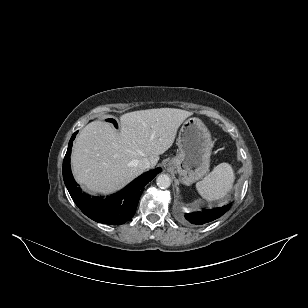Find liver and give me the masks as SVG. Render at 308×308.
<instances>
[{
    "label": "liver",
    "instance_id": "1",
    "mask_svg": "<svg viewBox=\"0 0 308 308\" xmlns=\"http://www.w3.org/2000/svg\"><path fill=\"white\" fill-rule=\"evenodd\" d=\"M192 115L175 108L129 112L120 117L121 129L95 120L78 135L71 156L76 181L89 192L109 194L138 177V160L148 158L154 167L174 143L177 130Z\"/></svg>",
    "mask_w": 308,
    "mask_h": 308
}]
</instances>
